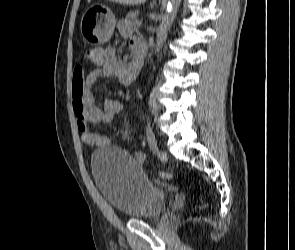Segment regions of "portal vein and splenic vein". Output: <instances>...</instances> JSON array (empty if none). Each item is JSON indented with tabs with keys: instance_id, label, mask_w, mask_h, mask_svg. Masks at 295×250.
I'll return each mask as SVG.
<instances>
[{
	"instance_id": "obj_1",
	"label": "portal vein and splenic vein",
	"mask_w": 295,
	"mask_h": 250,
	"mask_svg": "<svg viewBox=\"0 0 295 250\" xmlns=\"http://www.w3.org/2000/svg\"><path fill=\"white\" fill-rule=\"evenodd\" d=\"M135 25H136V26H141V25H142V21H136V22H135Z\"/></svg>"
}]
</instances>
